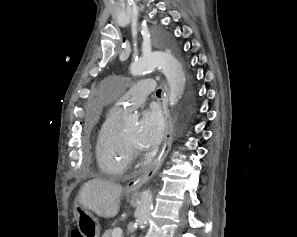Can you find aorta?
<instances>
[{
    "mask_svg": "<svg viewBox=\"0 0 297 237\" xmlns=\"http://www.w3.org/2000/svg\"><path fill=\"white\" fill-rule=\"evenodd\" d=\"M154 69H160L167 78L170 87V105H176L184 93L186 83L181 63L169 52L156 51L135 60L130 65V72L133 76H141L145 72ZM125 122L126 124H133L137 122V118L135 116H129L125 119ZM152 208V192L150 190H145L141 195L136 209V223L141 228L148 223Z\"/></svg>",
    "mask_w": 297,
    "mask_h": 237,
    "instance_id": "obj_1",
    "label": "aorta"
}]
</instances>
